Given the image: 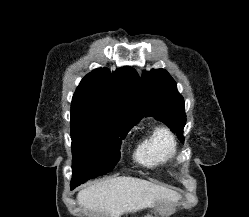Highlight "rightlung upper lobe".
<instances>
[{
	"label": "right lung upper lobe",
	"instance_id": "right-lung-upper-lobe-1",
	"mask_svg": "<svg viewBox=\"0 0 249 217\" xmlns=\"http://www.w3.org/2000/svg\"><path fill=\"white\" fill-rule=\"evenodd\" d=\"M72 105L91 106L134 126L145 107L141 80L128 66L112 73L107 68L95 69L81 80Z\"/></svg>",
	"mask_w": 249,
	"mask_h": 217
}]
</instances>
